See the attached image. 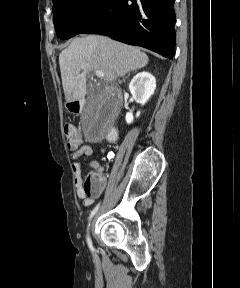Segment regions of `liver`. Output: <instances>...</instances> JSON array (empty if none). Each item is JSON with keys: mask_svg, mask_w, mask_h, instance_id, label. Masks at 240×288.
Returning a JSON list of instances; mask_svg holds the SVG:
<instances>
[{"mask_svg": "<svg viewBox=\"0 0 240 288\" xmlns=\"http://www.w3.org/2000/svg\"><path fill=\"white\" fill-rule=\"evenodd\" d=\"M149 62L140 49L108 37L88 35L74 39L59 55L62 85L68 102L84 99L87 74L101 70L104 80L112 82Z\"/></svg>", "mask_w": 240, "mask_h": 288, "instance_id": "liver-1", "label": "liver"}]
</instances>
